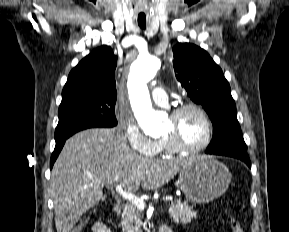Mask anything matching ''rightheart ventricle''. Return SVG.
I'll return each mask as SVG.
<instances>
[{"label":"right heart ventricle","mask_w":289,"mask_h":232,"mask_svg":"<svg viewBox=\"0 0 289 232\" xmlns=\"http://www.w3.org/2000/svg\"><path fill=\"white\" fill-rule=\"evenodd\" d=\"M172 151L169 149V147L167 146V144L165 143V141L162 139L159 140V147H158V151L157 154H171Z\"/></svg>","instance_id":"1"}]
</instances>
